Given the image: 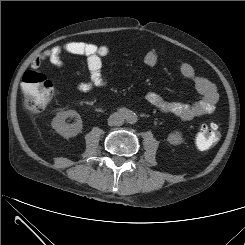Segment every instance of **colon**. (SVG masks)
Listing matches in <instances>:
<instances>
[{
    "mask_svg": "<svg viewBox=\"0 0 245 245\" xmlns=\"http://www.w3.org/2000/svg\"><path fill=\"white\" fill-rule=\"evenodd\" d=\"M24 104L29 111L42 110L55 96L56 88L46 75L37 70H27L21 82ZM220 139L217 125H204L196 136L197 147L206 150Z\"/></svg>",
    "mask_w": 245,
    "mask_h": 245,
    "instance_id": "5ec220e1",
    "label": "colon"
}]
</instances>
